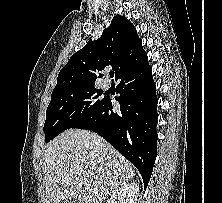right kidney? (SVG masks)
<instances>
[{
	"instance_id": "right-kidney-1",
	"label": "right kidney",
	"mask_w": 222,
	"mask_h": 203,
	"mask_svg": "<svg viewBox=\"0 0 222 203\" xmlns=\"http://www.w3.org/2000/svg\"><path fill=\"white\" fill-rule=\"evenodd\" d=\"M139 186L136 183H128L117 189L108 203H136Z\"/></svg>"
}]
</instances>
